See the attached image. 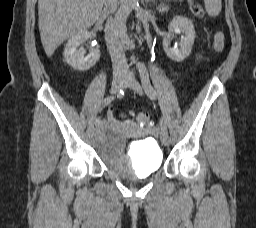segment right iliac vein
<instances>
[{
  "mask_svg": "<svg viewBox=\"0 0 256 228\" xmlns=\"http://www.w3.org/2000/svg\"><path fill=\"white\" fill-rule=\"evenodd\" d=\"M126 78L122 74H116L113 76L112 80V86H111V92L116 93L124 84H125ZM102 126V123L97 124L96 130H99Z\"/></svg>",
  "mask_w": 256,
  "mask_h": 228,
  "instance_id": "obj_1",
  "label": "right iliac vein"
}]
</instances>
